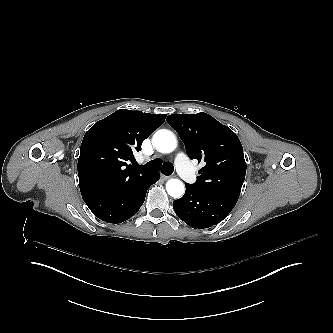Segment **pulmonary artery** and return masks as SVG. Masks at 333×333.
<instances>
[{
    "label": "pulmonary artery",
    "instance_id": "1",
    "mask_svg": "<svg viewBox=\"0 0 333 333\" xmlns=\"http://www.w3.org/2000/svg\"><path fill=\"white\" fill-rule=\"evenodd\" d=\"M185 153L182 151L174 157L176 169L179 175L184 178L188 183H194L197 180V175L194 173V168L188 162V159L183 156Z\"/></svg>",
    "mask_w": 333,
    "mask_h": 333
}]
</instances>
